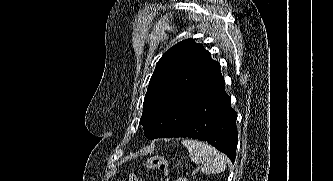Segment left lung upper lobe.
Listing matches in <instances>:
<instances>
[{"label": "left lung upper lobe", "instance_id": "1", "mask_svg": "<svg viewBox=\"0 0 333 181\" xmlns=\"http://www.w3.org/2000/svg\"><path fill=\"white\" fill-rule=\"evenodd\" d=\"M222 80L219 62L202 44L190 38L171 47L158 61L144 98V135L151 140L172 137Z\"/></svg>", "mask_w": 333, "mask_h": 181}]
</instances>
